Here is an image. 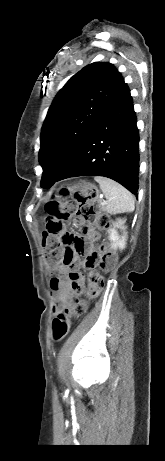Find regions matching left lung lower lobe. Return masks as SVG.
Here are the masks:
<instances>
[{
    "instance_id": "left-lung-lower-lobe-1",
    "label": "left lung lower lobe",
    "mask_w": 165,
    "mask_h": 461,
    "mask_svg": "<svg viewBox=\"0 0 165 461\" xmlns=\"http://www.w3.org/2000/svg\"><path fill=\"white\" fill-rule=\"evenodd\" d=\"M138 148L139 135L132 97L127 84H124L54 183L70 177L104 176L136 195Z\"/></svg>"
}]
</instances>
